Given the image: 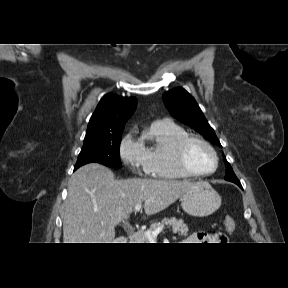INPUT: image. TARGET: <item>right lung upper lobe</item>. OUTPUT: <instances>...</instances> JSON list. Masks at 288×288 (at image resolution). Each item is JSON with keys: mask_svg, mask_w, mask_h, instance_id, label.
Returning <instances> with one entry per match:
<instances>
[{"mask_svg": "<svg viewBox=\"0 0 288 288\" xmlns=\"http://www.w3.org/2000/svg\"><path fill=\"white\" fill-rule=\"evenodd\" d=\"M135 97L106 94L90 118L84 141L123 131L136 108Z\"/></svg>", "mask_w": 288, "mask_h": 288, "instance_id": "cb5924a9", "label": "right lung upper lobe"}]
</instances>
